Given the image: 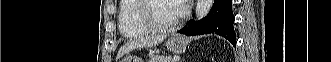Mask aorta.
Segmentation results:
<instances>
[{
    "mask_svg": "<svg viewBox=\"0 0 331 62\" xmlns=\"http://www.w3.org/2000/svg\"><path fill=\"white\" fill-rule=\"evenodd\" d=\"M213 3L214 0H197L196 18L199 20L206 17L212 8Z\"/></svg>",
    "mask_w": 331,
    "mask_h": 62,
    "instance_id": "1",
    "label": "aorta"
}]
</instances>
